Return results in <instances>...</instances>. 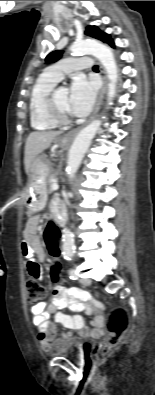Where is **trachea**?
I'll return each mask as SVG.
<instances>
[{
    "instance_id": "3493384b",
    "label": "trachea",
    "mask_w": 155,
    "mask_h": 395,
    "mask_svg": "<svg viewBox=\"0 0 155 395\" xmlns=\"http://www.w3.org/2000/svg\"><path fill=\"white\" fill-rule=\"evenodd\" d=\"M93 70H98V66L95 65V66L93 67Z\"/></svg>"
}]
</instances>
